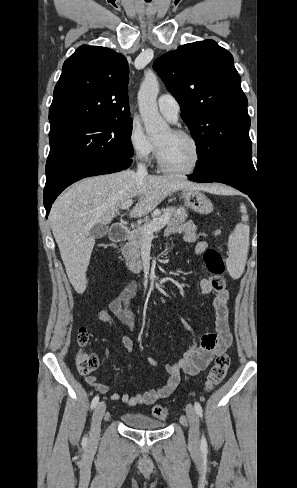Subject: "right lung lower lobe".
I'll return each instance as SVG.
<instances>
[{
  "instance_id": "98d812e1",
  "label": "right lung lower lobe",
  "mask_w": 297,
  "mask_h": 488,
  "mask_svg": "<svg viewBox=\"0 0 297 488\" xmlns=\"http://www.w3.org/2000/svg\"><path fill=\"white\" fill-rule=\"evenodd\" d=\"M131 164V158L120 160L109 159L95 161L76 167L70 172L58 178L50 185H45L44 206L46 209V217L48 216L52 203L55 201L57 196L72 183L85 177L118 172L127 169Z\"/></svg>"
}]
</instances>
